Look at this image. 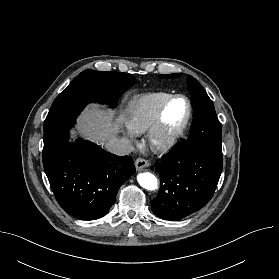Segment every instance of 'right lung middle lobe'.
I'll list each match as a JSON object with an SVG mask.
<instances>
[{
  "instance_id": "obj_1",
  "label": "right lung middle lobe",
  "mask_w": 279,
  "mask_h": 279,
  "mask_svg": "<svg viewBox=\"0 0 279 279\" xmlns=\"http://www.w3.org/2000/svg\"><path fill=\"white\" fill-rule=\"evenodd\" d=\"M136 78L129 73L85 70L54 100L44 122L43 164L68 140V131L90 102L115 107L117 99Z\"/></svg>"
}]
</instances>
